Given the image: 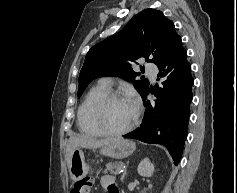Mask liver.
I'll return each mask as SVG.
<instances>
[{
  "label": "liver",
  "mask_w": 237,
  "mask_h": 193,
  "mask_svg": "<svg viewBox=\"0 0 237 193\" xmlns=\"http://www.w3.org/2000/svg\"><path fill=\"white\" fill-rule=\"evenodd\" d=\"M113 138H107L103 140H96L94 138H91L86 135H77V136H70L67 146H66V161L68 168H70V158H71V152L75 148H100L108 143H110Z\"/></svg>",
  "instance_id": "6515ba94"
}]
</instances>
